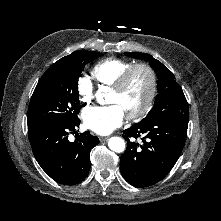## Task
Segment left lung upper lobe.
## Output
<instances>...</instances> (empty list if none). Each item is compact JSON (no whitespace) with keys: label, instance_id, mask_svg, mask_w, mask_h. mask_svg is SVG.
Returning a JSON list of instances; mask_svg holds the SVG:
<instances>
[{"label":"left lung upper lobe","instance_id":"1","mask_svg":"<svg viewBox=\"0 0 221 221\" xmlns=\"http://www.w3.org/2000/svg\"><path fill=\"white\" fill-rule=\"evenodd\" d=\"M127 56L147 60L150 66L154 69L158 78V95L155 104L149 114L142 122H146L155 117H160L168 112L170 104L176 100L180 93H183L179 84L175 81V76L171 73L165 65L156 60L149 54L145 53H125Z\"/></svg>","mask_w":221,"mask_h":221}]
</instances>
